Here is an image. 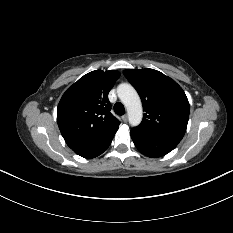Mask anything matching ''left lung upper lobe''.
Listing matches in <instances>:
<instances>
[{"label":"left lung upper lobe","mask_w":233,"mask_h":233,"mask_svg":"<svg viewBox=\"0 0 233 233\" xmlns=\"http://www.w3.org/2000/svg\"><path fill=\"white\" fill-rule=\"evenodd\" d=\"M125 76L138 90L145 114L136 130L181 140L189 119V102L182 88L154 69H127Z\"/></svg>","instance_id":"obj_1"}]
</instances>
